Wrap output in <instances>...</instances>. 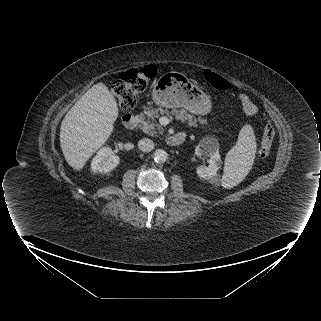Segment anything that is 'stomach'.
Here are the masks:
<instances>
[{"label":"stomach","instance_id":"stomach-1","mask_svg":"<svg viewBox=\"0 0 321 321\" xmlns=\"http://www.w3.org/2000/svg\"><path fill=\"white\" fill-rule=\"evenodd\" d=\"M152 98L158 106L183 107L197 115L208 114L212 108L209 96L179 72L163 74L153 88Z\"/></svg>","mask_w":321,"mask_h":321}]
</instances>
